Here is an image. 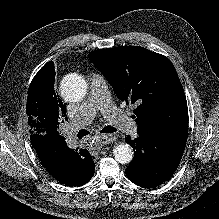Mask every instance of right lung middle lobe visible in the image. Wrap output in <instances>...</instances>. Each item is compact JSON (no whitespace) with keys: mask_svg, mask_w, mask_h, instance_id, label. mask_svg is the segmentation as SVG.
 Masks as SVG:
<instances>
[{"mask_svg":"<svg viewBox=\"0 0 219 219\" xmlns=\"http://www.w3.org/2000/svg\"><path fill=\"white\" fill-rule=\"evenodd\" d=\"M26 107L30 132L62 137L58 131L64 121L62 106L55 99H47L39 84L31 82Z\"/></svg>","mask_w":219,"mask_h":219,"instance_id":"dd1d6c3e","label":"right lung middle lobe"}]
</instances>
